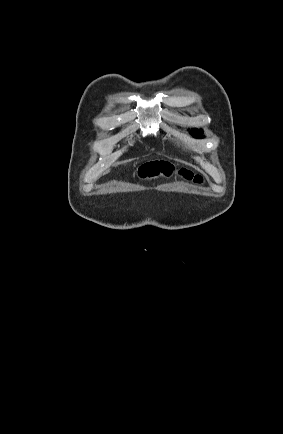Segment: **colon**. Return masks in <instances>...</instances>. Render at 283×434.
Listing matches in <instances>:
<instances>
[{"instance_id": "obj_1", "label": "colon", "mask_w": 283, "mask_h": 434, "mask_svg": "<svg viewBox=\"0 0 283 434\" xmlns=\"http://www.w3.org/2000/svg\"><path fill=\"white\" fill-rule=\"evenodd\" d=\"M171 172V167L162 162L149 163L142 166L139 170V175L145 179H153L159 175H169ZM180 174L188 179L193 180L196 183L202 182V177L200 175H195L187 170H182Z\"/></svg>"}]
</instances>
